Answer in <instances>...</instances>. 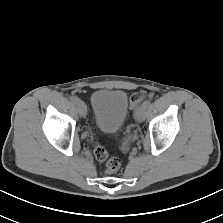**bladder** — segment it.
<instances>
[{"mask_svg":"<svg viewBox=\"0 0 223 223\" xmlns=\"http://www.w3.org/2000/svg\"><path fill=\"white\" fill-rule=\"evenodd\" d=\"M96 125L106 133L119 131L128 116V95L122 89L100 88L91 95Z\"/></svg>","mask_w":223,"mask_h":223,"instance_id":"bladder-1","label":"bladder"}]
</instances>
